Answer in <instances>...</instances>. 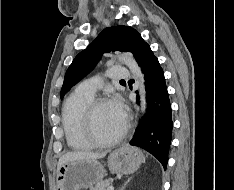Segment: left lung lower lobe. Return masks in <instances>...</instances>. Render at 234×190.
Here are the masks:
<instances>
[{
    "label": "left lung lower lobe",
    "instance_id": "obj_1",
    "mask_svg": "<svg viewBox=\"0 0 234 190\" xmlns=\"http://www.w3.org/2000/svg\"><path fill=\"white\" fill-rule=\"evenodd\" d=\"M135 59L144 73L147 111L136 129L130 145L150 152L166 169L173 123L164 73L157 57L147 43L138 51Z\"/></svg>",
    "mask_w": 234,
    "mask_h": 190
}]
</instances>
